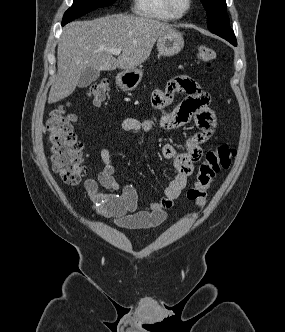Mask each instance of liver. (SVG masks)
<instances>
[{"label": "liver", "mask_w": 285, "mask_h": 332, "mask_svg": "<svg viewBox=\"0 0 285 332\" xmlns=\"http://www.w3.org/2000/svg\"><path fill=\"white\" fill-rule=\"evenodd\" d=\"M173 30L158 20L125 14L67 24L58 43V70L48 103L70 96L89 67L99 71L135 69L150 56L156 40ZM112 48H121L122 54L115 58L107 51Z\"/></svg>", "instance_id": "1"}]
</instances>
